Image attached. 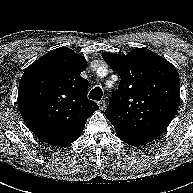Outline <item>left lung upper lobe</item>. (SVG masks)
<instances>
[{
  "instance_id": "5c2ea615",
  "label": "left lung upper lobe",
  "mask_w": 193,
  "mask_h": 193,
  "mask_svg": "<svg viewBox=\"0 0 193 193\" xmlns=\"http://www.w3.org/2000/svg\"><path fill=\"white\" fill-rule=\"evenodd\" d=\"M103 59L121 76L105 116L116 132L159 136L174 118L180 102L176 68L146 48L127 55L104 52Z\"/></svg>"
}]
</instances>
